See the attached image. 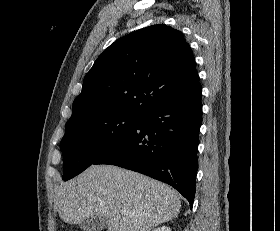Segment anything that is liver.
Returning a JSON list of instances; mask_svg holds the SVG:
<instances>
[{"mask_svg": "<svg viewBox=\"0 0 280 231\" xmlns=\"http://www.w3.org/2000/svg\"><path fill=\"white\" fill-rule=\"evenodd\" d=\"M55 205L65 223L101 215L107 231H150L177 217L181 201L170 185L142 173L116 165H90L60 185Z\"/></svg>", "mask_w": 280, "mask_h": 231, "instance_id": "6515ba94", "label": "liver"}]
</instances>
